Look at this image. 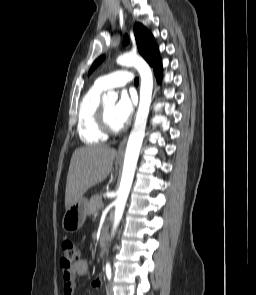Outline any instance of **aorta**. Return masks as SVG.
<instances>
[{
  "mask_svg": "<svg viewBox=\"0 0 256 295\" xmlns=\"http://www.w3.org/2000/svg\"><path fill=\"white\" fill-rule=\"evenodd\" d=\"M117 64L122 66L134 67L140 74V102L134 127L130 133L123 164V171L118 195L115 200V214L112 226V235L116 231L122 218L126 201L133 182L134 173L145 135V128L149 114L150 104L152 101L153 90V75L146 61L137 54L125 53L119 56L116 60ZM118 99V94L115 91H109L102 97L104 103H115Z\"/></svg>",
  "mask_w": 256,
  "mask_h": 295,
  "instance_id": "762f6f07",
  "label": "aorta"
}]
</instances>
